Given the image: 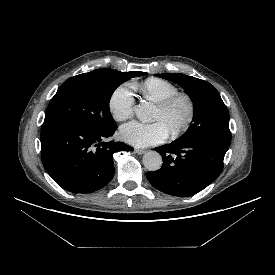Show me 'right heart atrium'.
<instances>
[{
	"mask_svg": "<svg viewBox=\"0 0 275 275\" xmlns=\"http://www.w3.org/2000/svg\"><path fill=\"white\" fill-rule=\"evenodd\" d=\"M109 110L117 121H125L133 115L135 94L131 82L117 86L108 101Z\"/></svg>",
	"mask_w": 275,
	"mask_h": 275,
	"instance_id": "d8ad5b80",
	"label": "right heart atrium"
}]
</instances>
